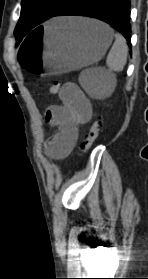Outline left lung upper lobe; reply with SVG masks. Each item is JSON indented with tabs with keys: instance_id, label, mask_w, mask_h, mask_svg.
<instances>
[{
	"instance_id": "1",
	"label": "left lung upper lobe",
	"mask_w": 148,
	"mask_h": 279,
	"mask_svg": "<svg viewBox=\"0 0 148 279\" xmlns=\"http://www.w3.org/2000/svg\"><path fill=\"white\" fill-rule=\"evenodd\" d=\"M68 0H22L21 16L14 34L17 42L51 18Z\"/></svg>"
}]
</instances>
